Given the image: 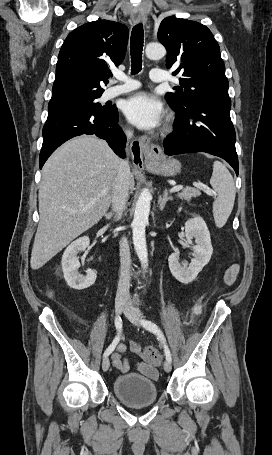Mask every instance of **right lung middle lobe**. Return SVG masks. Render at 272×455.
Masks as SVG:
<instances>
[{
  "mask_svg": "<svg viewBox=\"0 0 272 455\" xmlns=\"http://www.w3.org/2000/svg\"><path fill=\"white\" fill-rule=\"evenodd\" d=\"M101 96L89 95L68 98L60 101L49 102L48 116H52L65 111H97V112H110L113 107L102 106L97 99Z\"/></svg>",
  "mask_w": 272,
  "mask_h": 455,
  "instance_id": "dd1d6c3e",
  "label": "right lung middle lobe"
}]
</instances>
